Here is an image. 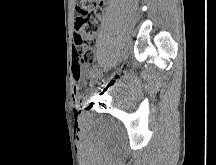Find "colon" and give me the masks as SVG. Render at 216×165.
Here are the masks:
<instances>
[{
  "instance_id": "5ec220e1",
  "label": "colon",
  "mask_w": 216,
  "mask_h": 165,
  "mask_svg": "<svg viewBox=\"0 0 216 165\" xmlns=\"http://www.w3.org/2000/svg\"><path fill=\"white\" fill-rule=\"evenodd\" d=\"M106 0H78L77 17L74 26V60L81 66H91L95 62V31L103 14Z\"/></svg>"
}]
</instances>
